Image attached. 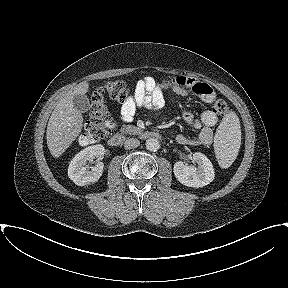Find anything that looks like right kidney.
I'll list each match as a JSON object with an SVG mask.
<instances>
[{"label": "right kidney", "mask_w": 288, "mask_h": 288, "mask_svg": "<svg viewBox=\"0 0 288 288\" xmlns=\"http://www.w3.org/2000/svg\"><path fill=\"white\" fill-rule=\"evenodd\" d=\"M105 149L102 145L86 147L71 160L68 167V177L78 186H84L99 180L103 173L104 164L99 160L103 158ZM97 158L95 166L89 169L88 160Z\"/></svg>", "instance_id": "right-kidney-1"}]
</instances>
